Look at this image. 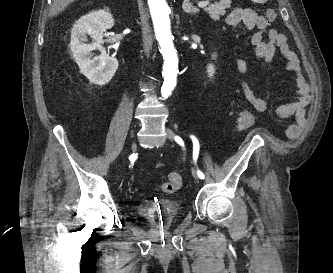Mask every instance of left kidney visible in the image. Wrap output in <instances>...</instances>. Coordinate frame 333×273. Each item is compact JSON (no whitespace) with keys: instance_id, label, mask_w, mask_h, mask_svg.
Here are the masks:
<instances>
[{"instance_id":"1","label":"left kidney","mask_w":333,"mask_h":273,"mask_svg":"<svg viewBox=\"0 0 333 273\" xmlns=\"http://www.w3.org/2000/svg\"><path fill=\"white\" fill-rule=\"evenodd\" d=\"M207 72H208V76H209V77H212V76L214 75V73H215V68H214V66H213L212 64H209V65L207 66Z\"/></svg>"}]
</instances>
